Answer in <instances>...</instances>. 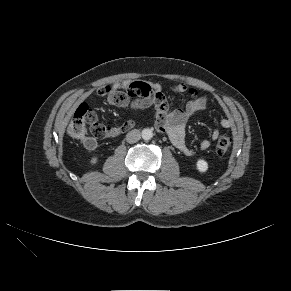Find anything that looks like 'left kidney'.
Here are the masks:
<instances>
[{
    "instance_id": "5707ae66",
    "label": "left kidney",
    "mask_w": 291,
    "mask_h": 291,
    "mask_svg": "<svg viewBox=\"0 0 291 291\" xmlns=\"http://www.w3.org/2000/svg\"><path fill=\"white\" fill-rule=\"evenodd\" d=\"M196 167L199 172L204 173L208 170V163L203 159H199L196 163Z\"/></svg>"
}]
</instances>
